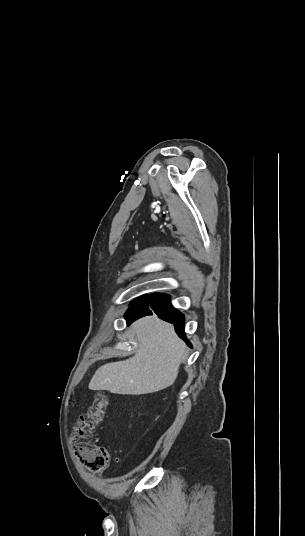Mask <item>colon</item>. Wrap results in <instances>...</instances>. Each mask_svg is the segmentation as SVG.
Instances as JSON below:
<instances>
[{"mask_svg":"<svg viewBox=\"0 0 305 536\" xmlns=\"http://www.w3.org/2000/svg\"><path fill=\"white\" fill-rule=\"evenodd\" d=\"M106 406V396L97 395L89 410L77 419L72 437L73 442L78 443L75 447L77 462H85L84 468L92 472L104 471L109 462V451L104 445L86 442L93 436L97 426L101 423Z\"/></svg>","mask_w":305,"mask_h":536,"instance_id":"1","label":"colon"}]
</instances>
